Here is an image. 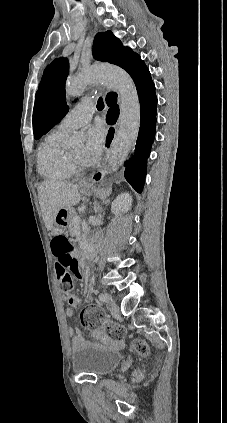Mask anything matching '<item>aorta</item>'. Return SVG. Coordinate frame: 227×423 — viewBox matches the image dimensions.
Returning <instances> with one entry per match:
<instances>
[{"label":"aorta","instance_id":"obj_1","mask_svg":"<svg viewBox=\"0 0 227 423\" xmlns=\"http://www.w3.org/2000/svg\"><path fill=\"white\" fill-rule=\"evenodd\" d=\"M103 82L117 91L120 102L119 128L114 137L108 156L109 172L116 171L136 144L140 127V103L136 86L127 72L115 66H94L66 82L67 97H78L88 85ZM84 137L74 132L69 137L70 145H78Z\"/></svg>","mask_w":227,"mask_h":423}]
</instances>
